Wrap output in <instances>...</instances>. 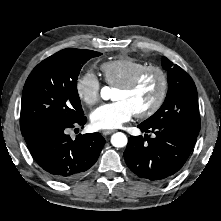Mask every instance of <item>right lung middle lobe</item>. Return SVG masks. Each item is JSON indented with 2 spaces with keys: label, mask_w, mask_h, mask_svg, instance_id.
<instances>
[{
  "label": "right lung middle lobe",
  "mask_w": 221,
  "mask_h": 221,
  "mask_svg": "<svg viewBox=\"0 0 221 221\" xmlns=\"http://www.w3.org/2000/svg\"><path fill=\"white\" fill-rule=\"evenodd\" d=\"M100 55L92 50L63 49L33 69L22 92L23 137L48 125L71 123L84 116L77 78L82 66Z\"/></svg>",
  "instance_id": "dd1d6c3e"
}]
</instances>
